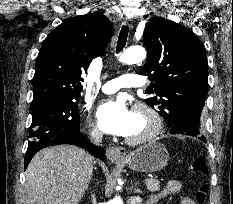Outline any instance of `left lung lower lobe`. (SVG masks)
I'll list each match as a JSON object with an SVG mask.
<instances>
[{"mask_svg": "<svg viewBox=\"0 0 233 204\" xmlns=\"http://www.w3.org/2000/svg\"><path fill=\"white\" fill-rule=\"evenodd\" d=\"M199 107L193 103H181L177 105V108L172 110L171 118L169 122L172 127L168 132L173 134L176 131L177 126L195 127L199 128L200 118H199ZM199 139L206 143L204 136L199 135Z\"/></svg>", "mask_w": 233, "mask_h": 204, "instance_id": "obj_1", "label": "left lung lower lobe"}]
</instances>
